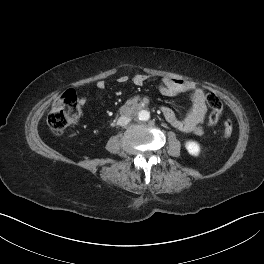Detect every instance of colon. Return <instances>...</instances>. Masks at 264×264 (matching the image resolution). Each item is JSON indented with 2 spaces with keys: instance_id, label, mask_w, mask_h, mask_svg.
<instances>
[{
  "instance_id": "5ec220e1",
  "label": "colon",
  "mask_w": 264,
  "mask_h": 264,
  "mask_svg": "<svg viewBox=\"0 0 264 264\" xmlns=\"http://www.w3.org/2000/svg\"><path fill=\"white\" fill-rule=\"evenodd\" d=\"M205 99L211 109L208 118V124L214 125L220 119L223 112V104L218 96L212 92L205 94ZM81 109L78 97L74 90L65 91L54 102L48 115V126L55 134H61L73 121L80 115ZM233 122L226 120L223 123V133L226 138L230 137L233 132Z\"/></svg>"
}]
</instances>
